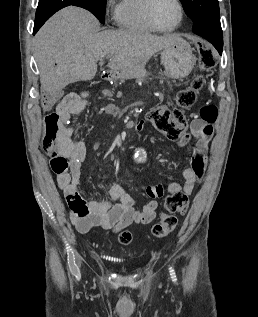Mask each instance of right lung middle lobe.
Returning <instances> with one entry per match:
<instances>
[{
  "label": "right lung middle lobe",
  "instance_id": "dd1d6c3e",
  "mask_svg": "<svg viewBox=\"0 0 258 317\" xmlns=\"http://www.w3.org/2000/svg\"><path fill=\"white\" fill-rule=\"evenodd\" d=\"M91 8V13H93L96 18L102 23H105V11H106V1L107 0H88Z\"/></svg>",
  "mask_w": 258,
  "mask_h": 317
}]
</instances>
